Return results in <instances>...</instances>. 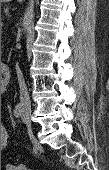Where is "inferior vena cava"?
I'll list each match as a JSON object with an SVG mask.
<instances>
[{
    "label": "inferior vena cava",
    "instance_id": "1",
    "mask_svg": "<svg viewBox=\"0 0 109 170\" xmlns=\"http://www.w3.org/2000/svg\"><path fill=\"white\" fill-rule=\"evenodd\" d=\"M16 72H17V78H18V83H19V89H20V101L21 104L26 108L30 109L31 108V102L29 98V94L27 91V87L23 78V74L18 66L16 65Z\"/></svg>",
    "mask_w": 109,
    "mask_h": 170
}]
</instances>
